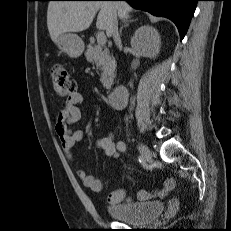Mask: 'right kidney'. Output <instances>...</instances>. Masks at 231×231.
<instances>
[{"mask_svg": "<svg viewBox=\"0 0 231 231\" xmlns=\"http://www.w3.org/2000/svg\"><path fill=\"white\" fill-rule=\"evenodd\" d=\"M160 46L161 38L158 31L149 25L139 27L131 38V47L143 57L156 58Z\"/></svg>", "mask_w": 231, "mask_h": 231, "instance_id": "right-kidney-1", "label": "right kidney"}]
</instances>
